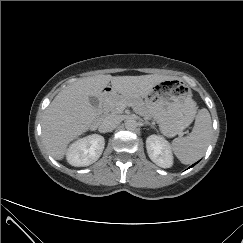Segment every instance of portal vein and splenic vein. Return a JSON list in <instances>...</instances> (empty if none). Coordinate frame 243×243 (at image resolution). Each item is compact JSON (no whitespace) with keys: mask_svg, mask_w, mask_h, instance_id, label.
Returning <instances> with one entry per match:
<instances>
[{"mask_svg":"<svg viewBox=\"0 0 243 243\" xmlns=\"http://www.w3.org/2000/svg\"><path fill=\"white\" fill-rule=\"evenodd\" d=\"M125 104H120V109L123 111L125 109Z\"/></svg>","mask_w":243,"mask_h":243,"instance_id":"1","label":"portal vein and splenic vein"}]
</instances>
